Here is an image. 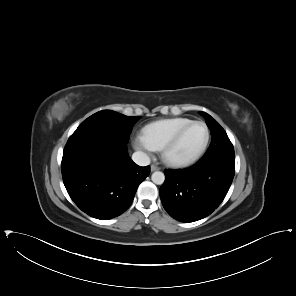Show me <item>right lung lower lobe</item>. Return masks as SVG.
<instances>
[{
	"label": "right lung lower lobe",
	"instance_id": "98d812e1",
	"mask_svg": "<svg viewBox=\"0 0 296 296\" xmlns=\"http://www.w3.org/2000/svg\"><path fill=\"white\" fill-rule=\"evenodd\" d=\"M109 135L71 136L61 163L63 182L74 203L97 219L119 216L131 205L150 167L127 155L126 143Z\"/></svg>",
	"mask_w": 296,
	"mask_h": 296
}]
</instances>
